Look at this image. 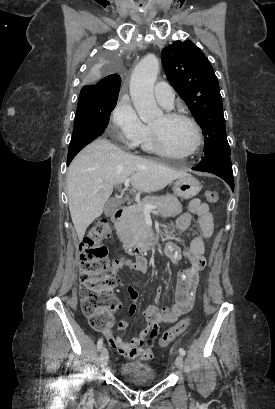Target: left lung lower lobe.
Listing matches in <instances>:
<instances>
[{"instance_id":"left-lung-lower-lobe-1","label":"left lung lower lobe","mask_w":275,"mask_h":409,"mask_svg":"<svg viewBox=\"0 0 275 409\" xmlns=\"http://www.w3.org/2000/svg\"><path fill=\"white\" fill-rule=\"evenodd\" d=\"M192 169L196 171L210 172L221 177L230 185L232 191H234L230 152H219L212 157H206L199 165Z\"/></svg>"}]
</instances>
